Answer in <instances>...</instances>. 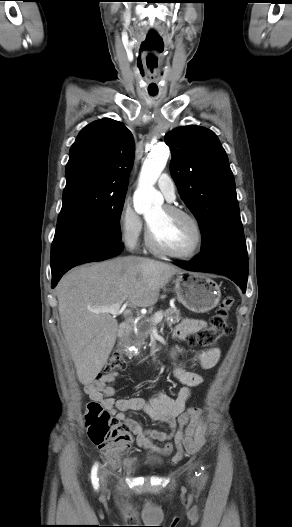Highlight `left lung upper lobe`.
Returning a JSON list of instances; mask_svg holds the SVG:
<instances>
[{"mask_svg":"<svg viewBox=\"0 0 292 527\" xmlns=\"http://www.w3.org/2000/svg\"><path fill=\"white\" fill-rule=\"evenodd\" d=\"M171 175L202 232L201 252L245 243L235 181L228 157L214 132L185 126L168 132Z\"/></svg>","mask_w":292,"mask_h":527,"instance_id":"5c2ea615","label":"left lung upper lobe"}]
</instances>
